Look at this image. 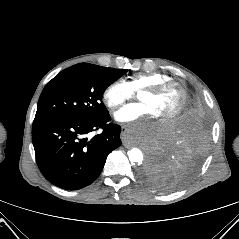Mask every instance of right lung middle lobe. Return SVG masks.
I'll return each mask as SVG.
<instances>
[{"label":"right lung middle lobe","instance_id":"obj_1","mask_svg":"<svg viewBox=\"0 0 239 239\" xmlns=\"http://www.w3.org/2000/svg\"><path fill=\"white\" fill-rule=\"evenodd\" d=\"M127 70L76 64L69 67L43 89L35 118L67 117L91 120L108 113L102 95L105 88Z\"/></svg>","mask_w":239,"mask_h":239}]
</instances>
